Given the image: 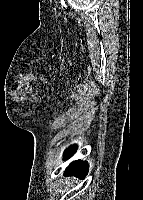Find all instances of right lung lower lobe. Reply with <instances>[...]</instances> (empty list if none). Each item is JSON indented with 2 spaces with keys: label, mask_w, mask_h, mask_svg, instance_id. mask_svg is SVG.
<instances>
[{
  "label": "right lung lower lobe",
  "mask_w": 143,
  "mask_h": 200,
  "mask_svg": "<svg viewBox=\"0 0 143 200\" xmlns=\"http://www.w3.org/2000/svg\"><path fill=\"white\" fill-rule=\"evenodd\" d=\"M77 146L72 145L65 151V158H69L76 151ZM88 173V163L86 161H74L65 170L66 175H75L79 178H84Z\"/></svg>",
  "instance_id": "obj_1"
}]
</instances>
